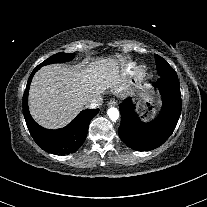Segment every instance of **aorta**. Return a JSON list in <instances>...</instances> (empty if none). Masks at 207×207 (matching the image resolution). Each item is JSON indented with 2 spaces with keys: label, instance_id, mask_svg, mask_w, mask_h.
Wrapping results in <instances>:
<instances>
[{
  "label": "aorta",
  "instance_id": "1",
  "mask_svg": "<svg viewBox=\"0 0 207 207\" xmlns=\"http://www.w3.org/2000/svg\"><path fill=\"white\" fill-rule=\"evenodd\" d=\"M107 114L112 121L117 120L119 118V111L117 108L114 107L109 108Z\"/></svg>",
  "mask_w": 207,
  "mask_h": 207
}]
</instances>
